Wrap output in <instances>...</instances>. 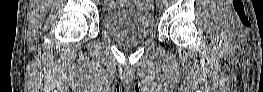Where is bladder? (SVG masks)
I'll return each mask as SVG.
<instances>
[{
  "label": "bladder",
  "mask_w": 263,
  "mask_h": 92,
  "mask_svg": "<svg viewBox=\"0 0 263 92\" xmlns=\"http://www.w3.org/2000/svg\"><path fill=\"white\" fill-rule=\"evenodd\" d=\"M123 6H113L104 12L103 27L116 42L133 46L145 41L154 30L152 12L139 4L142 1H121Z\"/></svg>",
  "instance_id": "obj_1"
}]
</instances>
